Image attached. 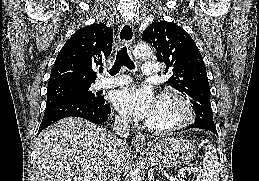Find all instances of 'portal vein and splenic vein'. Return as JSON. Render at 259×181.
Segmentation results:
<instances>
[{
  "mask_svg": "<svg viewBox=\"0 0 259 181\" xmlns=\"http://www.w3.org/2000/svg\"><path fill=\"white\" fill-rule=\"evenodd\" d=\"M201 168L200 167H188L186 169H181L180 172L178 173L179 176L181 177H184L185 175V171H188V172H192V171H200Z\"/></svg>",
  "mask_w": 259,
  "mask_h": 181,
  "instance_id": "1",
  "label": "portal vein and splenic vein"
}]
</instances>
